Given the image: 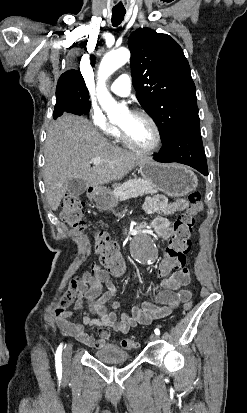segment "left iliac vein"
<instances>
[{
	"label": "left iliac vein",
	"mask_w": 247,
	"mask_h": 413,
	"mask_svg": "<svg viewBox=\"0 0 247 413\" xmlns=\"http://www.w3.org/2000/svg\"><path fill=\"white\" fill-rule=\"evenodd\" d=\"M157 338L158 337L155 334H151L150 337H149L150 341H155V340H157Z\"/></svg>",
	"instance_id": "obj_1"
}]
</instances>
